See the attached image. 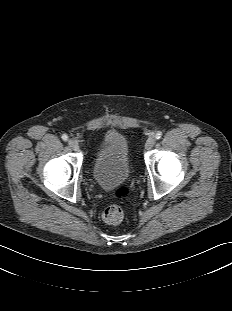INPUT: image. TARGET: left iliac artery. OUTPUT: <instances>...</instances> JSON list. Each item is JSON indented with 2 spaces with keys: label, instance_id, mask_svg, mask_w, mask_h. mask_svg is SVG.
Masks as SVG:
<instances>
[{
  "label": "left iliac artery",
  "instance_id": "44dca946",
  "mask_svg": "<svg viewBox=\"0 0 232 311\" xmlns=\"http://www.w3.org/2000/svg\"><path fill=\"white\" fill-rule=\"evenodd\" d=\"M162 136V132L161 131H158L156 134H155V138L156 139H160Z\"/></svg>",
  "mask_w": 232,
  "mask_h": 311
}]
</instances>
